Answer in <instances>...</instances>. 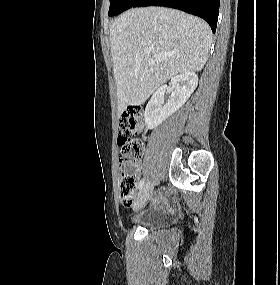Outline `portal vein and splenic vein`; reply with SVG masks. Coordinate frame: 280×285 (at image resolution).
Wrapping results in <instances>:
<instances>
[{
    "label": "portal vein and splenic vein",
    "instance_id": "portal-vein-and-splenic-vein-1",
    "mask_svg": "<svg viewBox=\"0 0 280 285\" xmlns=\"http://www.w3.org/2000/svg\"><path fill=\"white\" fill-rule=\"evenodd\" d=\"M144 52H145V53H148L149 50H148V49H144ZM168 56H170V54H165L164 56H161V57L157 58L156 60H157V61H161V60L165 59V58L168 57Z\"/></svg>",
    "mask_w": 280,
    "mask_h": 285
}]
</instances>
